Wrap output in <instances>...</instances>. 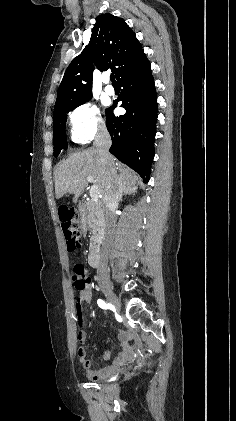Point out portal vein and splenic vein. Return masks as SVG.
Returning a JSON list of instances; mask_svg holds the SVG:
<instances>
[{
  "label": "portal vein and splenic vein",
  "mask_w": 236,
  "mask_h": 421,
  "mask_svg": "<svg viewBox=\"0 0 236 421\" xmlns=\"http://www.w3.org/2000/svg\"><path fill=\"white\" fill-rule=\"evenodd\" d=\"M87 180H88V182H95L93 176H87ZM89 192H90L91 200H97L100 192H99L98 186H96V184H92Z\"/></svg>",
  "instance_id": "18ae733b"
}]
</instances>
